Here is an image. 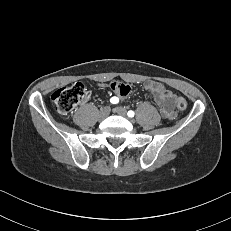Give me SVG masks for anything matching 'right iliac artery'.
<instances>
[{
	"mask_svg": "<svg viewBox=\"0 0 231 231\" xmlns=\"http://www.w3.org/2000/svg\"><path fill=\"white\" fill-rule=\"evenodd\" d=\"M110 102H111L112 104H117V103L119 102V99H118L117 97H112V98L110 99Z\"/></svg>",
	"mask_w": 231,
	"mask_h": 231,
	"instance_id": "obj_1",
	"label": "right iliac artery"
}]
</instances>
